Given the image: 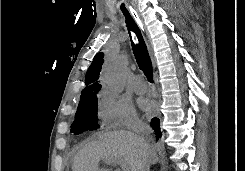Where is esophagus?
I'll return each mask as SVG.
<instances>
[{"instance_id": "esophagus-1", "label": "esophagus", "mask_w": 245, "mask_h": 171, "mask_svg": "<svg viewBox=\"0 0 245 171\" xmlns=\"http://www.w3.org/2000/svg\"><path fill=\"white\" fill-rule=\"evenodd\" d=\"M126 8L134 16V18L137 20V23L139 24V26L142 28V30L144 32V40H145V43L147 45V49H148V52H149V56L151 58V62H152L153 68H155L156 67V58H155V55H154L153 45H152L151 39H150L148 33L146 32V30L143 29L142 23L135 16V14L133 12V9L128 4H126Z\"/></svg>"}]
</instances>
